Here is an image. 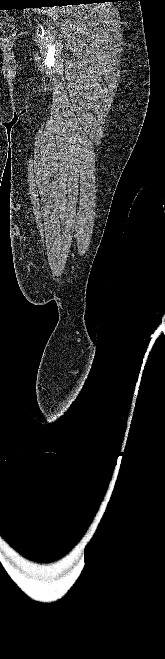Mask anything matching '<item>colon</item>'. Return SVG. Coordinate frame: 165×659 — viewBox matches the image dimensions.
<instances>
[{
    "instance_id": "obj_1",
    "label": "colon",
    "mask_w": 165,
    "mask_h": 659,
    "mask_svg": "<svg viewBox=\"0 0 165 659\" xmlns=\"http://www.w3.org/2000/svg\"><path fill=\"white\" fill-rule=\"evenodd\" d=\"M17 29L15 25L6 20L0 19V39L9 40L16 35Z\"/></svg>"
}]
</instances>
